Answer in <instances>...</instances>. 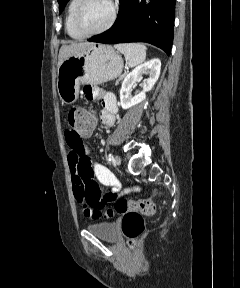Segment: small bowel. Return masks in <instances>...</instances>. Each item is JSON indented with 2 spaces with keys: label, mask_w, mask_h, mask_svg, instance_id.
Instances as JSON below:
<instances>
[{
  "label": "small bowel",
  "mask_w": 240,
  "mask_h": 288,
  "mask_svg": "<svg viewBox=\"0 0 240 288\" xmlns=\"http://www.w3.org/2000/svg\"><path fill=\"white\" fill-rule=\"evenodd\" d=\"M83 93L86 99L102 103L100 119L106 126H113L118 112L115 95L93 85L85 86ZM91 132L92 130L77 136L67 128L64 133L69 147L68 163L72 189L75 199L80 204L85 202L89 191H100L99 184L111 187L112 192L116 194L122 191V185L115 175L104 165L93 161L89 148L83 141V138L89 137ZM91 212L84 214L89 217Z\"/></svg>",
  "instance_id": "1"
}]
</instances>
